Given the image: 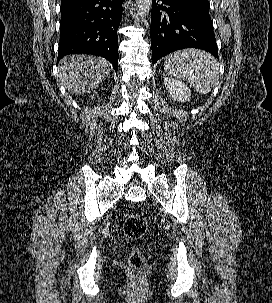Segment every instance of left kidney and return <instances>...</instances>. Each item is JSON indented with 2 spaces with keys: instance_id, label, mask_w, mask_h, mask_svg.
Segmentation results:
<instances>
[{
  "instance_id": "1",
  "label": "left kidney",
  "mask_w": 272,
  "mask_h": 303,
  "mask_svg": "<svg viewBox=\"0 0 272 303\" xmlns=\"http://www.w3.org/2000/svg\"><path fill=\"white\" fill-rule=\"evenodd\" d=\"M164 84L169 92V96L175 101H190L191 91L185 83L172 77H165Z\"/></svg>"
}]
</instances>
